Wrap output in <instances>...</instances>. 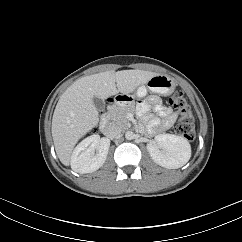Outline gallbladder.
Returning a JSON list of instances; mask_svg holds the SVG:
<instances>
[{
  "label": "gallbladder",
  "instance_id": "1",
  "mask_svg": "<svg viewBox=\"0 0 242 242\" xmlns=\"http://www.w3.org/2000/svg\"><path fill=\"white\" fill-rule=\"evenodd\" d=\"M93 103L99 111H103L105 109V102L102 99L94 97Z\"/></svg>",
  "mask_w": 242,
  "mask_h": 242
}]
</instances>
